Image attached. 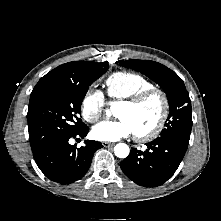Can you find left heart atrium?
I'll return each mask as SVG.
<instances>
[{"label": "left heart atrium", "instance_id": "obj_1", "mask_svg": "<svg viewBox=\"0 0 221 221\" xmlns=\"http://www.w3.org/2000/svg\"><path fill=\"white\" fill-rule=\"evenodd\" d=\"M91 134L98 141L115 142L134 134V131L128 121L119 118L97 124L93 127Z\"/></svg>", "mask_w": 221, "mask_h": 221}]
</instances>
